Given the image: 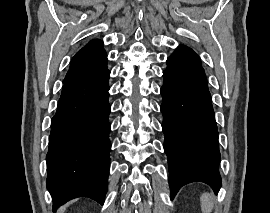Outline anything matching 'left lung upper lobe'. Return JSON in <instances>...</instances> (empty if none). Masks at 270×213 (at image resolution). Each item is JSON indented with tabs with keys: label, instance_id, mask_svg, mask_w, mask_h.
<instances>
[{
	"label": "left lung upper lobe",
	"instance_id": "obj_1",
	"mask_svg": "<svg viewBox=\"0 0 270 213\" xmlns=\"http://www.w3.org/2000/svg\"><path fill=\"white\" fill-rule=\"evenodd\" d=\"M167 65L173 68L201 67V60L192 49L180 45L167 59Z\"/></svg>",
	"mask_w": 270,
	"mask_h": 213
}]
</instances>
